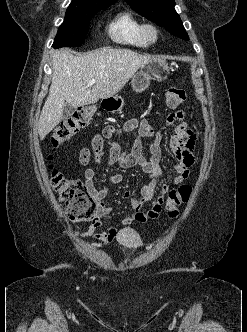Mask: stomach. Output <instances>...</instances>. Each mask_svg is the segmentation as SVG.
I'll list each match as a JSON object with an SVG mask.
<instances>
[{"label":"stomach","instance_id":"stomach-1","mask_svg":"<svg viewBox=\"0 0 247 332\" xmlns=\"http://www.w3.org/2000/svg\"><path fill=\"white\" fill-rule=\"evenodd\" d=\"M169 73L170 68L166 60L160 58L152 59L133 76L131 80L132 89L136 93H141L149 87L150 80L164 81L168 78ZM107 99L109 100L104 101L103 107L108 110H120L124 104L120 96Z\"/></svg>","mask_w":247,"mask_h":332}]
</instances>
